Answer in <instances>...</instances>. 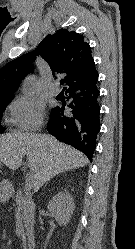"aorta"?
<instances>
[{
    "label": "aorta",
    "instance_id": "aorta-1",
    "mask_svg": "<svg viewBox=\"0 0 135 249\" xmlns=\"http://www.w3.org/2000/svg\"><path fill=\"white\" fill-rule=\"evenodd\" d=\"M35 91V84L33 80L25 82L23 87V96L25 98H31Z\"/></svg>",
    "mask_w": 135,
    "mask_h": 249
}]
</instances>
